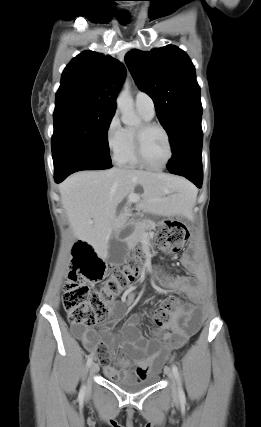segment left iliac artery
I'll list each match as a JSON object with an SVG mask.
<instances>
[{
    "label": "left iliac artery",
    "mask_w": 261,
    "mask_h": 427,
    "mask_svg": "<svg viewBox=\"0 0 261 427\" xmlns=\"http://www.w3.org/2000/svg\"><path fill=\"white\" fill-rule=\"evenodd\" d=\"M172 371L177 379V383H178V392H179V397L181 400H185V394L180 382V377H179V372H178V368L175 364L172 365Z\"/></svg>",
    "instance_id": "1"
}]
</instances>
